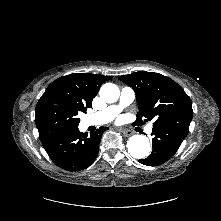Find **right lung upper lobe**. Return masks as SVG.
I'll return each mask as SVG.
<instances>
[{
    "mask_svg": "<svg viewBox=\"0 0 221 221\" xmlns=\"http://www.w3.org/2000/svg\"><path fill=\"white\" fill-rule=\"evenodd\" d=\"M111 78L113 76L72 73L52 82L42 96L49 93H60L87 109L91 106L92 100L98 93L101 85Z\"/></svg>",
    "mask_w": 221,
    "mask_h": 221,
    "instance_id": "cb5924a9",
    "label": "right lung upper lobe"
}]
</instances>
